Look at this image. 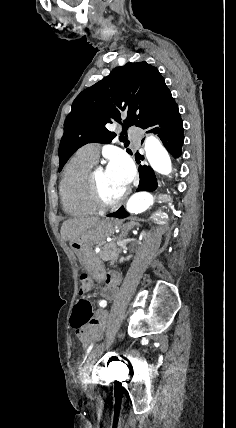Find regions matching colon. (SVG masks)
Wrapping results in <instances>:
<instances>
[{
	"label": "colon",
	"instance_id": "1",
	"mask_svg": "<svg viewBox=\"0 0 236 428\" xmlns=\"http://www.w3.org/2000/svg\"><path fill=\"white\" fill-rule=\"evenodd\" d=\"M93 288V281L86 275H82L80 279V294L82 299L76 304L73 309L70 324L72 328L79 332L87 324L95 322L93 311L87 295Z\"/></svg>",
	"mask_w": 236,
	"mask_h": 428
}]
</instances>
